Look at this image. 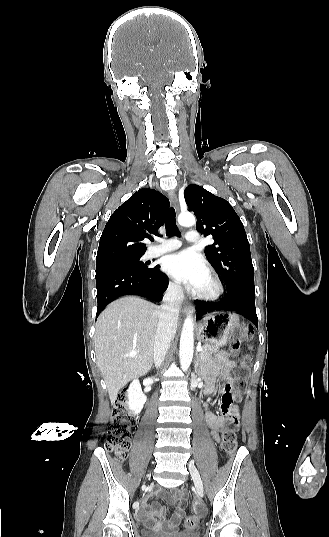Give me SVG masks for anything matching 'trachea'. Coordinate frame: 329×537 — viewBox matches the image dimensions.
I'll return each instance as SVG.
<instances>
[{
  "instance_id": "trachea-1",
  "label": "trachea",
  "mask_w": 329,
  "mask_h": 537,
  "mask_svg": "<svg viewBox=\"0 0 329 537\" xmlns=\"http://www.w3.org/2000/svg\"><path fill=\"white\" fill-rule=\"evenodd\" d=\"M175 215L176 214H175L174 208H170L167 214L166 224H165L167 236H171V235L179 236V231H178L176 221H175Z\"/></svg>"
}]
</instances>
